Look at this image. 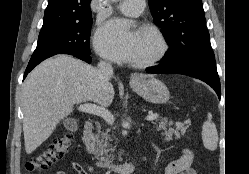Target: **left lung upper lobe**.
Here are the masks:
<instances>
[{
    "mask_svg": "<svg viewBox=\"0 0 249 174\" xmlns=\"http://www.w3.org/2000/svg\"><path fill=\"white\" fill-rule=\"evenodd\" d=\"M154 22L169 45L162 63L215 58L205 24L202 0H149Z\"/></svg>",
    "mask_w": 249,
    "mask_h": 174,
    "instance_id": "5c2ea615",
    "label": "left lung upper lobe"
}]
</instances>
